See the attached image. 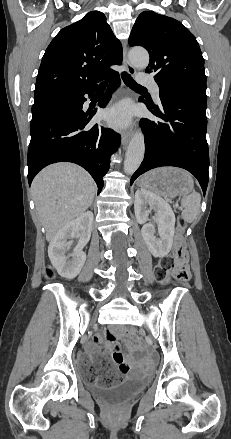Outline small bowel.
I'll list each match as a JSON object with an SVG mask.
<instances>
[{
  "label": "small bowel",
  "instance_id": "small-bowel-1",
  "mask_svg": "<svg viewBox=\"0 0 231 439\" xmlns=\"http://www.w3.org/2000/svg\"><path fill=\"white\" fill-rule=\"evenodd\" d=\"M105 342L109 353H111L112 360L110 361L106 358V353L99 350V346ZM90 355H102V360L104 361V367L110 371L115 365H126L127 367L134 366V361L132 358H125L121 351V346L118 343V334L115 330H111L105 336L96 335L93 339L92 345L88 348ZM135 374H143V370L135 369Z\"/></svg>",
  "mask_w": 231,
  "mask_h": 439
}]
</instances>
